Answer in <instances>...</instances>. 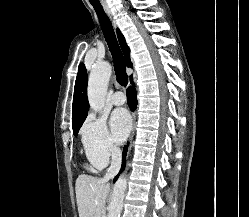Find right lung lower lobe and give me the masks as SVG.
<instances>
[{
  "mask_svg": "<svg viewBox=\"0 0 249 217\" xmlns=\"http://www.w3.org/2000/svg\"><path fill=\"white\" fill-rule=\"evenodd\" d=\"M131 83L133 84L132 78L130 79ZM127 101H128V105L130 107L131 110H135L136 105H137V99H136V91L135 88L130 86L127 89ZM127 154V145L124 146V150H123V164H122V169L121 171L124 169L125 167V157ZM118 178V175L116 176V178L114 179V181H116V179Z\"/></svg>",
  "mask_w": 249,
  "mask_h": 217,
  "instance_id": "1",
  "label": "right lung lower lobe"
}]
</instances>
